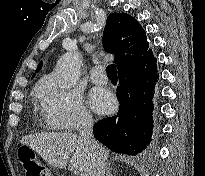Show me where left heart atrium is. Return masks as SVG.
<instances>
[{
    "instance_id": "obj_1",
    "label": "left heart atrium",
    "mask_w": 205,
    "mask_h": 176,
    "mask_svg": "<svg viewBox=\"0 0 205 176\" xmlns=\"http://www.w3.org/2000/svg\"><path fill=\"white\" fill-rule=\"evenodd\" d=\"M92 108L97 113H107L113 109L115 100L112 94L104 89L94 88L90 93Z\"/></svg>"
}]
</instances>
